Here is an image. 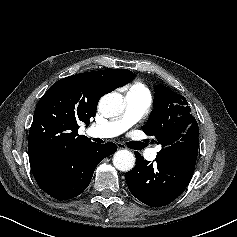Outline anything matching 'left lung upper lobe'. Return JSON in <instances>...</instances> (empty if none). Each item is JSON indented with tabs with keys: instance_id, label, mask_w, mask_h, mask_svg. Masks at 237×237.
Masks as SVG:
<instances>
[{
	"instance_id": "5c2ea615",
	"label": "left lung upper lobe",
	"mask_w": 237,
	"mask_h": 237,
	"mask_svg": "<svg viewBox=\"0 0 237 237\" xmlns=\"http://www.w3.org/2000/svg\"><path fill=\"white\" fill-rule=\"evenodd\" d=\"M155 91L154 109L142 129L162 145L157 155L167 159L197 158L199 128L185 97L165 86H156Z\"/></svg>"
}]
</instances>
